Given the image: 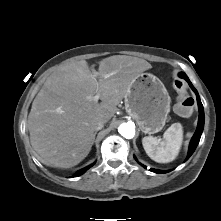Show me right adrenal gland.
Here are the masks:
<instances>
[{"label": "right adrenal gland", "instance_id": "right-adrenal-gland-1", "mask_svg": "<svg viewBox=\"0 0 221 221\" xmlns=\"http://www.w3.org/2000/svg\"><path fill=\"white\" fill-rule=\"evenodd\" d=\"M96 134H97V133L95 132V133H94V138H93V143H94V140H95V136H96Z\"/></svg>", "mask_w": 221, "mask_h": 221}]
</instances>
